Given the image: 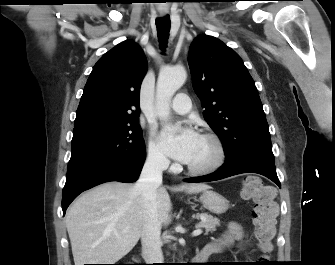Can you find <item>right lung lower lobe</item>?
<instances>
[{"label":"right lung lower lobe","mask_w":335,"mask_h":265,"mask_svg":"<svg viewBox=\"0 0 335 265\" xmlns=\"http://www.w3.org/2000/svg\"><path fill=\"white\" fill-rule=\"evenodd\" d=\"M145 154L130 160L93 159L68 167L62 192V210L83 191L108 181L133 182L138 179Z\"/></svg>","instance_id":"obj_1"}]
</instances>
